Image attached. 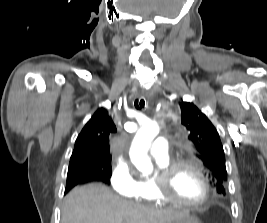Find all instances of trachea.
Instances as JSON below:
<instances>
[{
	"label": "trachea",
	"instance_id": "trachea-1",
	"mask_svg": "<svg viewBox=\"0 0 267 223\" xmlns=\"http://www.w3.org/2000/svg\"><path fill=\"white\" fill-rule=\"evenodd\" d=\"M145 106V100L142 98L140 101L137 99L135 100V107L137 109L143 108Z\"/></svg>",
	"mask_w": 267,
	"mask_h": 223
}]
</instances>
